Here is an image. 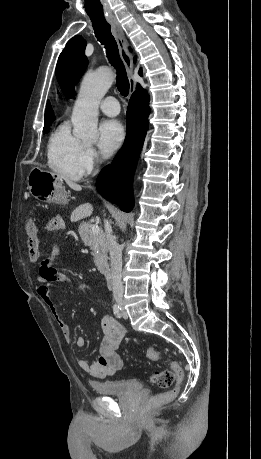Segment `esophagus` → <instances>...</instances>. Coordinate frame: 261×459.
Instances as JSON below:
<instances>
[{"mask_svg": "<svg viewBox=\"0 0 261 459\" xmlns=\"http://www.w3.org/2000/svg\"><path fill=\"white\" fill-rule=\"evenodd\" d=\"M108 21L112 27V31H113L114 37L118 45L121 59L125 65V68L128 74L129 83H130V93L132 94L136 89V82L133 78V74H134L133 58L128 49V43H127L126 37L117 19L115 17H111L108 19Z\"/></svg>", "mask_w": 261, "mask_h": 459, "instance_id": "1", "label": "esophagus"}]
</instances>
